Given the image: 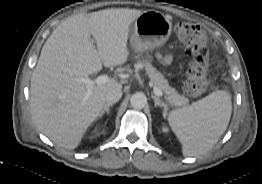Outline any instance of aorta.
I'll list each match as a JSON object with an SVG mask.
<instances>
[{"label":"aorta","mask_w":262,"mask_h":184,"mask_svg":"<svg viewBox=\"0 0 262 184\" xmlns=\"http://www.w3.org/2000/svg\"><path fill=\"white\" fill-rule=\"evenodd\" d=\"M147 104V97L142 92L134 93L130 98V105L135 109H142Z\"/></svg>","instance_id":"762f6f07"}]
</instances>
